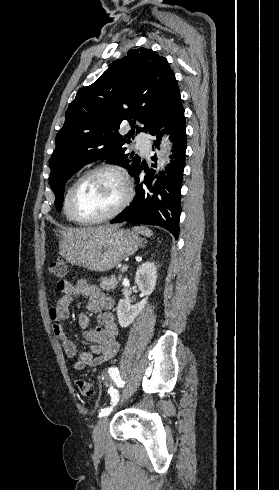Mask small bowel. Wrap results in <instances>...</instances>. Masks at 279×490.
Instances as JSON below:
<instances>
[{
  "label": "small bowel",
  "mask_w": 279,
  "mask_h": 490,
  "mask_svg": "<svg viewBox=\"0 0 279 490\" xmlns=\"http://www.w3.org/2000/svg\"><path fill=\"white\" fill-rule=\"evenodd\" d=\"M57 288L62 296L50 307L48 315L52 321L54 335L60 339L67 357L73 360V368L82 370L87 366L97 365L114 358L119 348V328L112 313L113 298L86 280H80L75 284L68 280H59ZM76 297L86 299L88 311L78 316L79 325L83 329V337L89 342L88 348L82 353L78 352L76 345L69 339L62 325V322L69 318V307ZM90 314L96 315L97 327H89Z\"/></svg>",
  "instance_id": "c3829d8e"
}]
</instances>
